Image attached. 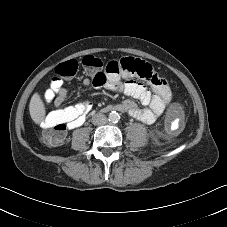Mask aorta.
Wrapping results in <instances>:
<instances>
[{
	"mask_svg": "<svg viewBox=\"0 0 227 227\" xmlns=\"http://www.w3.org/2000/svg\"><path fill=\"white\" fill-rule=\"evenodd\" d=\"M118 118H119V115L116 112H111L109 114V121L116 122Z\"/></svg>",
	"mask_w": 227,
	"mask_h": 227,
	"instance_id": "762f6f07",
	"label": "aorta"
}]
</instances>
